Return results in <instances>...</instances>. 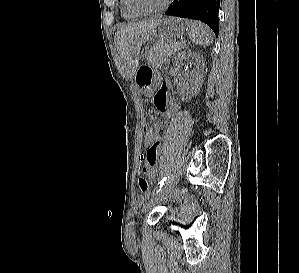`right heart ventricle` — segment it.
I'll use <instances>...</instances> for the list:
<instances>
[{"instance_id":"right-heart-ventricle-1","label":"right heart ventricle","mask_w":299,"mask_h":273,"mask_svg":"<svg viewBox=\"0 0 299 273\" xmlns=\"http://www.w3.org/2000/svg\"><path fill=\"white\" fill-rule=\"evenodd\" d=\"M120 14L122 18L129 21L138 20L142 17V15L136 14L128 8L126 0H120Z\"/></svg>"}]
</instances>
